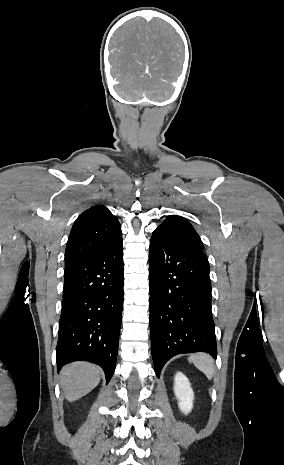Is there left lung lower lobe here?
I'll use <instances>...</instances> for the list:
<instances>
[{
	"label": "left lung lower lobe",
	"instance_id": "obj_1",
	"mask_svg": "<svg viewBox=\"0 0 284 465\" xmlns=\"http://www.w3.org/2000/svg\"><path fill=\"white\" fill-rule=\"evenodd\" d=\"M209 262L203 249L154 231L149 252L150 335L154 369L181 353L216 358Z\"/></svg>",
	"mask_w": 284,
	"mask_h": 465
}]
</instances>
